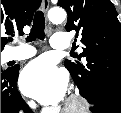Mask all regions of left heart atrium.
<instances>
[{"label": "left heart atrium", "instance_id": "obj_1", "mask_svg": "<svg viewBox=\"0 0 121 113\" xmlns=\"http://www.w3.org/2000/svg\"><path fill=\"white\" fill-rule=\"evenodd\" d=\"M22 91L42 104L61 102L67 90V77L48 59L30 63L21 75Z\"/></svg>", "mask_w": 121, "mask_h": 113}]
</instances>
